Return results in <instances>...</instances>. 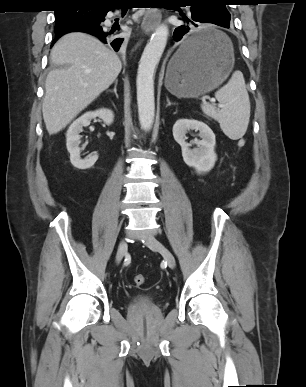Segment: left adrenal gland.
<instances>
[{
	"mask_svg": "<svg viewBox=\"0 0 306 387\" xmlns=\"http://www.w3.org/2000/svg\"><path fill=\"white\" fill-rule=\"evenodd\" d=\"M166 101H167V105H166V107H169V106H171V105H176V103H172V102H170V100H169V98H168V97H166Z\"/></svg>",
	"mask_w": 306,
	"mask_h": 387,
	"instance_id": "a2214340",
	"label": "left adrenal gland"
}]
</instances>
